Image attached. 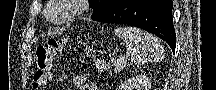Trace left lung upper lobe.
Segmentation results:
<instances>
[{"label": "left lung upper lobe", "instance_id": "1", "mask_svg": "<svg viewBox=\"0 0 216 90\" xmlns=\"http://www.w3.org/2000/svg\"><path fill=\"white\" fill-rule=\"evenodd\" d=\"M89 1L92 4V8L94 9V12L91 16V18L93 19L94 17L98 16L102 12L115 7L122 0H89Z\"/></svg>", "mask_w": 216, "mask_h": 90}]
</instances>
